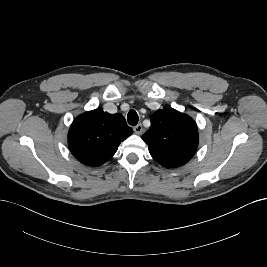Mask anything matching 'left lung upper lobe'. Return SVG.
<instances>
[{
  "label": "left lung upper lobe",
  "mask_w": 267,
  "mask_h": 267,
  "mask_svg": "<svg viewBox=\"0 0 267 267\" xmlns=\"http://www.w3.org/2000/svg\"><path fill=\"white\" fill-rule=\"evenodd\" d=\"M150 120L151 126L142 139L153 159L166 168L186 164L198 147L195 121L174 109L157 110Z\"/></svg>",
  "instance_id": "obj_1"
}]
</instances>
